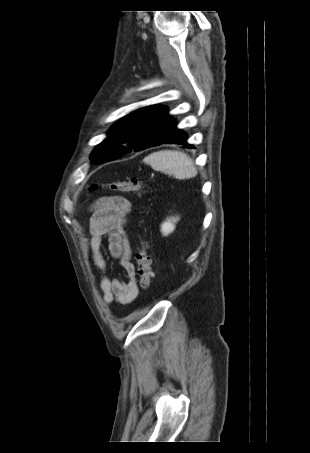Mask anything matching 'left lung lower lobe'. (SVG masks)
<instances>
[{
    "instance_id": "1",
    "label": "left lung lower lobe",
    "mask_w": 310,
    "mask_h": 453,
    "mask_svg": "<svg viewBox=\"0 0 310 453\" xmlns=\"http://www.w3.org/2000/svg\"><path fill=\"white\" fill-rule=\"evenodd\" d=\"M177 123L173 121L170 130L166 133L165 137L157 142H154L148 147L158 146L161 144H176L183 145L186 148H193L192 145L187 143V135L176 127ZM147 147V148H148ZM146 149V148H145Z\"/></svg>"
}]
</instances>
